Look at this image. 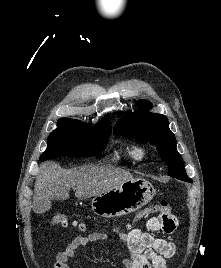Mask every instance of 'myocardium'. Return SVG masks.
<instances>
[{
    "mask_svg": "<svg viewBox=\"0 0 221 268\" xmlns=\"http://www.w3.org/2000/svg\"><path fill=\"white\" fill-rule=\"evenodd\" d=\"M132 155H133V158L136 159V160H141L144 158L145 156V150L143 147L141 146H136L133 148L132 150Z\"/></svg>",
    "mask_w": 221,
    "mask_h": 268,
    "instance_id": "obj_1",
    "label": "myocardium"
}]
</instances>
